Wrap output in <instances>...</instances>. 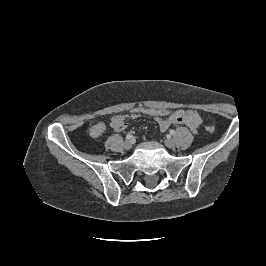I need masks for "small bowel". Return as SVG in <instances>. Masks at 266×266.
Wrapping results in <instances>:
<instances>
[{"instance_id":"small-bowel-1","label":"small bowel","mask_w":266,"mask_h":266,"mask_svg":"<svg viewBox=\"0 0 266 266\" xmlns=\"http://www.w3.org/2000/svg\"><path fill=\"white\" fill-rule=\"evenodd\" d=\"M133 119L127 115H116L111 119V127L115 131H123L127 126V120ZM155 121L159 125L162 132L166 131L171 125H186L192 131H196L201 123L199 114L194 110H176L170 116L162 118H155ZM106 130V125L103 122H98L90 127V135L92 137L101 136Z\"/></svg>"}]
</instances>
